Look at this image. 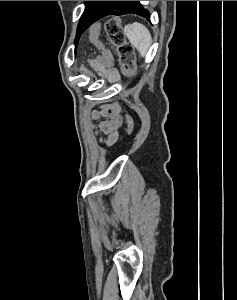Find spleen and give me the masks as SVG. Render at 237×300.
Segmentation results:
<instances>
[{
    "instance_id": "obj_1",
    "label": "spleen",
    "mask_w": 237,
    "mask_h": 300,
    "mask_svg": "<svg viewBox=\"0 0 237 300\" xmlns=\"http://www.w3.org/2000/svg\"><path fill=\"white\" fill-rule=\"evenodd\" d=\"M124 33L131 45L139 51L141 57H145L152 43V37L148 29L140 23H133V25H125Z\"/></svg>"
}]
</instances>
